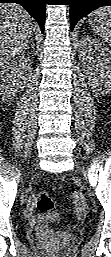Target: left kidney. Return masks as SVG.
Instances as JSON below:
<instances>
[{"label":"left kidney","mask_w":111,"mask_h":257,"mask_svg":"<svg viewBox=\"0 0 111 257\" xmlns=\"http://www.w3.org/2000/svg\"><path fill=\"white\" fill-rule=\"evenodd\" d=\"M79 59L90 86L101 92L111 89V50L100 40L83 37L79 43Z\"/></svg>","instance_id":"1"}]
</instances>
